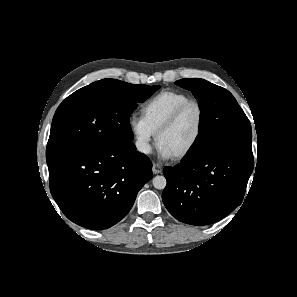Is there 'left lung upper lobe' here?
Listing matches in <instances>:
<instances>
[{"label": "left lung upper lobe", "instance_id": "obj_1", "mask_svg": "<svg viewBox=\"0 0 297 297\" xmlns=\"http://www.w3.org/2000/svg\"><path fill=\"white\" fill-rule=\"evenodd\" d=\"M175 83L192 91L201 111L200 135L186 158L211 151H226L253 159L250 122L229 91L198 78Z\"/></svg>", "mask_w": 297, "mask_h": 297}]
</instances>
